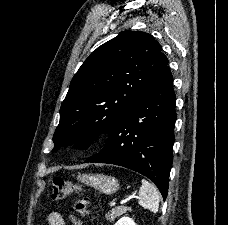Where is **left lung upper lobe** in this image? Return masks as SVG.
<instances>
[{"instance_id":"obj_1","label":"left lung upper lobe","mask_w":228,"mask_h":225,"mask_svg":"<svg viewBox=\"0 0 228 225\" xmlns=\"http://www.w3.org/2000/svg\"><path fill=\"white\" fill-rule=\"evenodd\" d=\"M151 34L123 31L98 47L74 75L60 108L54 149L87 148L154 84L168 59Z\"/></svg>"}]
</instances>
